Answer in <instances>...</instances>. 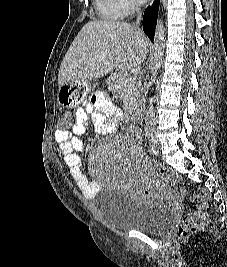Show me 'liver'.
I'll return each instance as SVG.
<instances>
[{
  "instance_id": "obj_1",
  "label": "liver",
  "mask_w": 227,
  "mask_h": 267,
  "mask_svg": "<svg viewBox=\"0 0 227 267\" xmlns=\"http://www.w3.org/2000/svg\"><path fill=\"white\" fill-rule=\"evenodd\" d=\"M146 36L123 21H90L80 30L59 70L58 85L103 77L113 69L139 67L147 55Z\"/></svg>"
}]
</instances>
